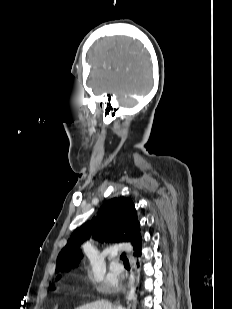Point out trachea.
<instances>
[{
	"label": "trachea",
	"instance_id": "1",
	"mask_svg": "<svg viewBox=\"0 0 232 309\" xmlns=\"http://www.w3.org/2000/svg\"><path fill=\"white\" fill-rule=\"evenodd\" d=\"M120 259L123 261L124 264H129V260L126 256V253L123 252L120 256Z\"/></svg>",
	"mask_w": 232,
	"mask_h": 309
}]
</instances>
